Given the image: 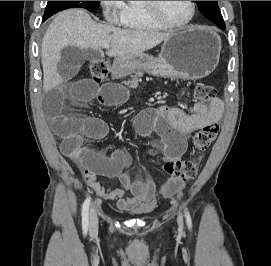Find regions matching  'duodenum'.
Returning a JSON list of instances; mask_svg holds the SVG:
<instances>
[{"mask_svg": "<svg viewBox=\"0 0 271 266\" xmlns=\"http://www.w3.org/2000/svg\"><path fill=\"white\" fill-rule=\"evenodd\" d=\"M125 64H126V62L121 59L115 61L114 65H113V72H112V76L114 78L119 77L123 74Z\"/></svg>", "mask_w": 271, "mask_h": 266, "instance_id": "duodenum-1", "label": "duodenum"}]
</instances>
